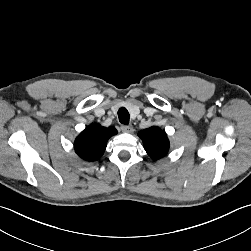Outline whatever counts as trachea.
<instances>
[{
	"label": "trachea",
	"mask_w": 251,
	"mask_h": 251,
	"mask_svg": "<svg viewBox=\"0 0 251 251\" xmlns=\"http://www.w3.org/2000/svg\"><path fill=\"white\" fill-rule=\"evenodd\" d=\"M118 118L120 123L124 124V125H128L129 124V112L126 108H120L118 110Z\"/></svg>",
	"instance_id": "trachea-1"
}]
</instances>
